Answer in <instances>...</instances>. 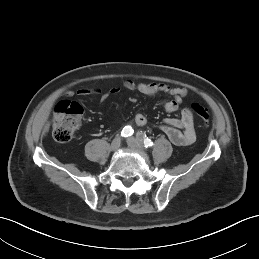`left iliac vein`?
<instances>
[{"label":"left iliac vein","instance_id":"1","mask_svg":"<svg viewBox=\"0 0 259 259\" xmlns=\"http://www.w3.org/2000/svg\"><path fill=\"white\" fill-rule=\"evenodd\" d=\"M127 144L130 148L136 150H143L142 144H140L135 138L129 137L127 138Z\"/></svg>","mask_w":259,"mask_h":259}]
</instances>
